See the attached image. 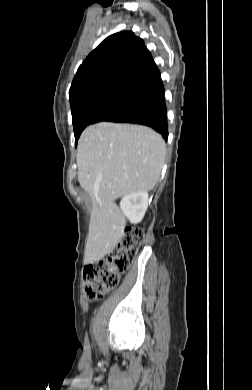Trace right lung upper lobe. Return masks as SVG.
Instances as JSON below:
<instances>
[{
	"label": "right lung upper lobe",
	"mask_w": 252,
	"mask_h": 390,
	"mask_svg": "<svg viewBox=\"0 0 252 390\" xmlns=\"http://www.w3.org/2000/svg\"><path fill=\"white\" fill-rule=\"evenodd\" d=\"M162 83L141 38L131 31L107 37L78 68L69 90L71 111L104 97L137 99Z\"/></svg>",
	"instance_id": "right-lung-upper-lobe-1"
}]
</instances>
